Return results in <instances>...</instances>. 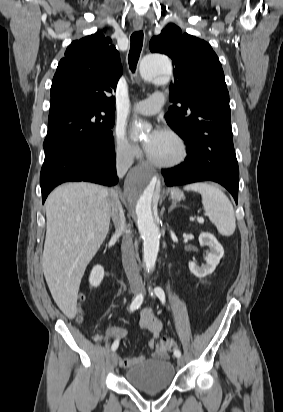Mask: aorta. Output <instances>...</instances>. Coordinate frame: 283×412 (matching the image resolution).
Wrapping results in <instances>:
<instances>
[{
    "mask_svg": "<svg viewBox=\"0 0 283 412\" xmlns=\"http://www.w3.org/2000/svg\"><path fill=\"white\" fill-rule=\"evenodd\" d=\"M172 74L170 60L162 55H151L141 62L140 76L144 81L155 84L167 82ZM143 128L134 127V136L138 137ZM157 185V177L150 171L136 170L125 185L128 197L136 202L137 226L143 239V260L146 270H153L159 252L160 232L152 213V197Z\"/></svg>",
    "mask_w": 283,
    "mask_h": 412,
    "instance_id": "obj_1",
    "label": "aorta"
}]
</instances>
